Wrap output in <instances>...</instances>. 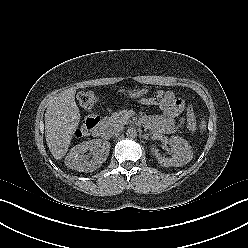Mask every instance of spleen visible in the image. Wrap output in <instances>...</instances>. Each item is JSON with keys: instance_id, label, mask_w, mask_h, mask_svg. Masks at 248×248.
Masks as SVG:
<instances>
[{"instance_id": "3e777b00", "label": "spleen", "mask_w": 248, "mask_h": 248, "mask_svg": "<svg viewBox=\"0 0 248 248\" xmlns=\"http://www.w3.org/2000/svg\"><path fill=\"white\" fill-rule=\"evenodd\" d=\"M199 127H200L201 131H204V129L206 128V122H205L204 120H202V121L200 122Z\"/></svg>"}]
</instances>
